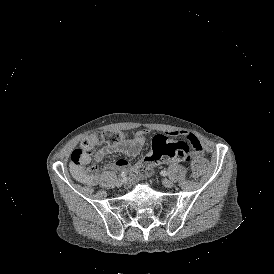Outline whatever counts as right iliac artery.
<instances>
[{
  "label": "right iliac artery",
  "instance_id": "obj_1",
  "mask_svg": "<svg viewBox=\"0 0 274 274\" xmlns=\"http://www.w3.org/2000/svg\"><path fill=\"white\" fill-rule=\"evenodd\" d=\"M126 175H127V173L124 172V171L120 174V176H121L122 178L126 177Z\"/></svg>",
  "mask_w": 274,
  "mask_h": 274
}]
</instances>
